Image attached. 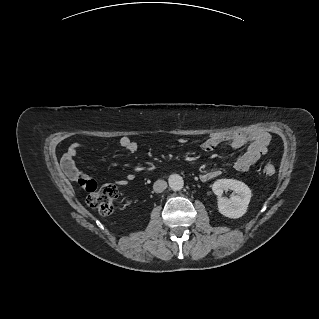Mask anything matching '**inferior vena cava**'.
<instances>
[{
    "label": "inferior vena cava",
    "mask_w": 319,
    "mask_h": 319,
    "mask_svg": "<svg viewBox=\"0 0 319 319\" xmlns=\"http://www.w3.org/2000/svg\"><path fill=\"white\" fill-rule=\"evenodd\" d=\"M167 188V182L165 180L159 179L157 181H155L154 185H153V190L156 193H161L163 192L165 189Z\"/></svg>",
    "instance_id": "602c4592"
}]
</instances>
